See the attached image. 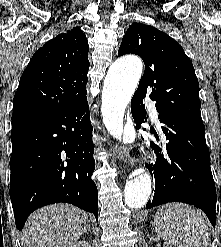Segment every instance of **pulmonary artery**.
<instances>
[{
	"label": "pulmonary artery",
	"instance_id": "1",
	"mask_svg": "<svg viewBox=\"0 0 221 247\" xmlns=\"http://www.w3.org/2000/svg\"><path fill=\"white\" fill-rule=\"evenodd\" d=\"M148 107L150 108V113H151L153 119L156 121L157 120V110L155 108L154 103L151 101H148Z\"/></svg>",
	"mask_w": 221,
	"mask_h": 247
}]
</instances>
